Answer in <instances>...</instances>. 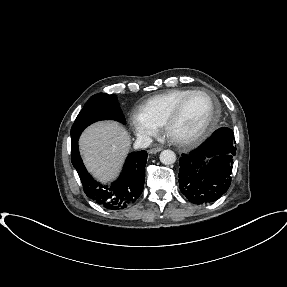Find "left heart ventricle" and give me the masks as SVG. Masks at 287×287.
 <instances>
[{
	"mask_svg": "<svg viewBox=\"0 0 287 287\" xmlns=\"http://www.w3.org/2000/svg\"><path fill=\"white\" fill-rule=\"evenodd\" d=\"M211 102L205 95L192 96L170 129L171 136L182 138L199 132L209 119Z\"/></svg>",
	"mask_w": 287,
	"mask_h": 287,
	"instance_id": "b2bd125f",
	"label": "left heart ventricle"
}]
</instances>
